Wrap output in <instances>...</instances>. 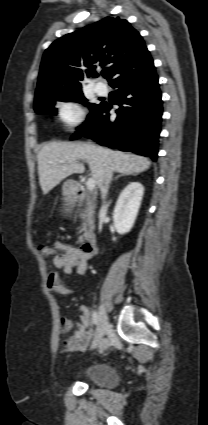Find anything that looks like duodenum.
Masks as SVG:
<instances>
[{"label":"duodenum","mask_w":208,"mask_h":425,"mask_svg":"<svg viewBox=\"0 0 208 425\" xmlns=\"http://www.w3.org/2000/svg\"><path fill=\"white\" fill-rule=\"evenodd\" d=\"M71 188L78 198H82V196L86 193L85 188L81 184L74 183ZM81 249L87 255L95 254L97 252L96 236L93 233L88 232L84 236Z\"/></svg>","instance_id":"1"}]
</instances>
